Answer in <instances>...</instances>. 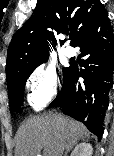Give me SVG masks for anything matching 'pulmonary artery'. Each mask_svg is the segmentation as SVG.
<instances>
[{
    "mask_svg": "<svg viewBox=\"0 0 114 156\" xmlns=\"http://www.w3.org/2000/svg\"><path fill=\"white\" fill-rule=\"evenodd\" d=\"M63 53L67 57H72L75 54V51L73 48L67 46L63 49Z\"/></svg>",
    "mask_w": 114,
    "mask_h": 156,
    "instance_id": "1",
    "label": "pulmonary artery"
}]
</instances>
